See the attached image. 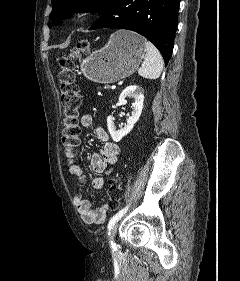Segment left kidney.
I'll use <instances>...</instances> for the list:
<instances>
[{
    "instance_id": "obj_1",
    "label": "left kidney",
    "mask_w": 240,
    "mask_h": 281,
    "mask_svg": "<svg viewBox=\"0 0 240 281\" xmlns=\"http://www.w3.org/2000/svg\"><path fill=\"white\" fill-rule=\"evenodd\" d=\"M127 96L134 97L135 102L132 104L133 112L132 115L128 118L127 123L120 130H116L114 125V118L108 116L107 118V127L108 131L115 142H119L124 136H126L134 127V124L139 120V117L143 109L144 95L141 87L137 85H130L126 87L119 96V102L125 103V98Z\"/></svg>"
}]
</instances>
